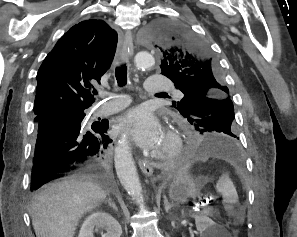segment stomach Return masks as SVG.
Wrapping results in <instances>:
<instances>
[{"instance_id": "0dacf381", "label": "stomach", "mask_w": 297, "mask_h": 237, "mask_svg": "<svg viewBox=\"0 0 297 237\" xmlns=\"http://www.w3.org/2000/svg\"><path fill=\"white\" fill-rule=\"evenodd\" d=\"M202 184L194 180L188 172L179 173L169 185L168 195L176 204L185 203L200 195Z\"/></svg>"}]
</instances>
